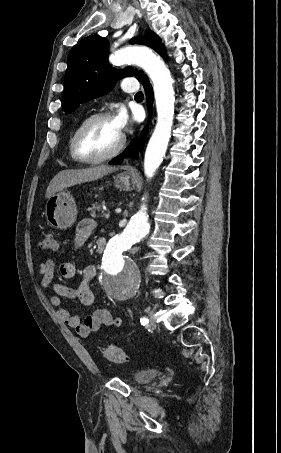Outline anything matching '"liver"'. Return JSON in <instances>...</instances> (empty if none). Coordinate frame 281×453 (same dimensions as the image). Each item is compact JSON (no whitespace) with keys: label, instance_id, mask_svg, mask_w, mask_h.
Here are the masks:
<instances>
[{"label":"liver","instance_id":"6515ba94","mask_svg":"<svg viewBox=\"0 0 281 453\" xmlns=\"http://www.w3.org/2000/svg\"><path fill=\"white\" fill-rule=\"evenodd\" d=\"M115 170H118V166H108V164L90 166V168H77V170H60L49 182L45 196L50 198L52 194H55L58 190H63L66 186L97 180V178H102L105 174L115 172Z\"/></svg>","mask_w":281,"mask_h":453}]
</instances>
